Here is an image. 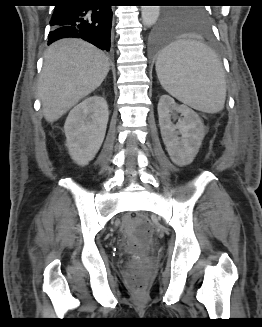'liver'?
Masks as SVG:
<instances>
[{
    "mask_svg": "<svg viewBox=\"0 0 262 327\" xmlns=\"http://www.w3.org/2000/svg\"><path fill=\"white\" fill-rule=\"evenodd\" d=\"M108 57L80 39L53 43L44 54L38 83L43 115L54 122L97 89L109 72Z\"/></svg>",
    "mask_w": 262,
    "mask_h": 327,
    "instance_id": "obj_1",
    "label": "liver"
}]
</instances>
